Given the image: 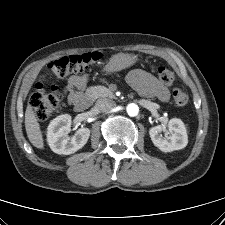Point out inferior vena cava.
<instances>
[{
  "label": "inferior vena cava",
  "instance_id": "obj_1",
  "mask_svg": "<svg viewBox=\"0 0 225 225\" xmlns=\"http://www.w3.org/2000/svg\"><path fill=\"white\" fill-rule=\"evenodd\" d=\"M116 106L115 102L109 99H99L96 102V107L101 111V112H107L112 110Z\"/></svg>",
  "mask_w": 225,
  "mask_h": 225
}]
</instances>
